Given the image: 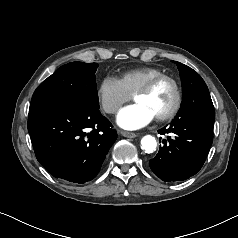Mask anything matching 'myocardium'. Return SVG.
Here are the masks:
<instances>
[{"label":"myocardium","mask_w":238,"mask_h":238,"mask_svg":"<svg viewBox=\"0 0 238 238\" xmlns=\"http://www.w3.org/2000/svg\"><path fill=\"white\" fill-rule=\"evenodd\" d=\"M163 81H169L173 85L175 91V101L172 108L167 113L156 117V120L161 122L173 119L181 108L183 94L179 82L170 75H159L149 80L145 85H143L133 94V99L135 100V98L139 95L150 93L158 84Z\"/></svg>","instance_id":"f54148a6"}]
</instances>
